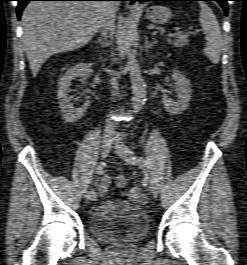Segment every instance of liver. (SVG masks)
Returning a JSON list of instances; mask_svg holds the SVG:
<instances>
[{"instance_id": "1", "label": "liver", "mask_w": 247, "mask_h": 265, "mask_svg": "<svg viewBox=\"0 0 247 265\" xmlns=\"http://www.w3.org/2000/svg\"><path fill=\"white\" fill-rule=\"evenodd\" d=\"M102 2L32 1L22 14L23 46L33 77L51 56L79 49L99 27ZM115 14L110 29L113 30Z\"/></svg>"}]
</instances>
